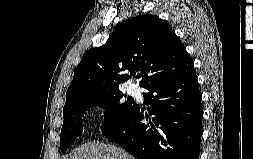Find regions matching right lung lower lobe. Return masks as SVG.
Instances as JSON below:
<instances>
[{"label": "right lung lower lobe", "instance_id": "right-lung-lower-lobe-1", "mask_svg": "<svg viewBox=\"0 0 253 159\" xmlns=\"http://www.w3.org/2000/svg\"><path fill=\"white\" fill-rule=\"evenodd\" d=\"M146 89L152 121L142 123L144 110L136 105L125 122L103 134L138 159H198L203 109L194 67Z\"/></svg>", "mask_w": 253, "mask_h": 159}]
</instances>
